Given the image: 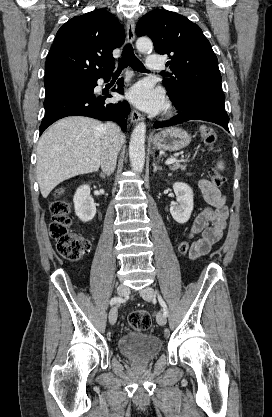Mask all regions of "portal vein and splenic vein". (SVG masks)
Listing matches in <instances>:
<instances>
[{"label":"portal vein and splenic vein","instance_id":"18ae733b","mask_svg":"<svg viewBox=\"0 0 272 417\" xmlns=\"http://www.w3.org/2000/svg\"><path fill=\"white\" fill-rule=\"evenodd\" d=\"M87 161H89V159H87ZM177 161V159L176 158H170V159H168L165 163H166V165H170V164H172V163H174V162H176Z\"/></svg>","mask_w":272,"mask_h":417}]
</instances>
